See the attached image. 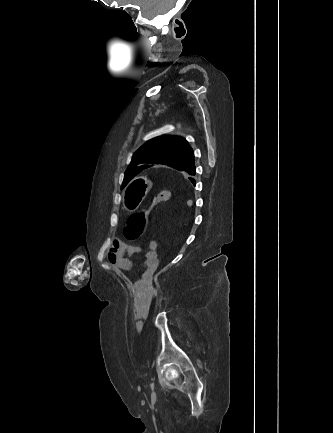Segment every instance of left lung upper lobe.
Wrapping results in <instances>:
<instances>
[{"label": "left lung upper lobe", "instance_id": "obj_1", "mask_svg": "<svg viewBox=\"0 0 333 433\" xmlns=\"http://www.w3.org/2000/svg\"><path fill=\"white\" fill-rule=\"evenodd\" d=\"M194 163V153L188 142L176 136H162L145 143L133 155L125 172L122 188L146 165L162 164L179 171Z\"/></svg>", "mask_w": 333, "mask_h": 433}]
</instances>
